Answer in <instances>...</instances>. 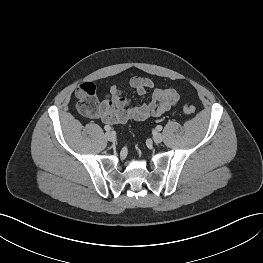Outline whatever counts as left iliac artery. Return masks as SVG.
Here are the masks:
<instances>
[{
	"instance_id": "left-iliac-artery-1",
	"label": "left iliac artery",
	"mask_w": 263,
	"mask_h": 263,
	"mask_svg": "<svg viewBox=\"0 0 263 263\" xmlns=\"http://www.w3.org/2000/svg\"><path fill=\"white\" fill-rule=\"evenodd\" d=\"M156 129H157L158 131H161V130H162V126H161V125H157V126H156Z\"/></svg>"
}]
</instances>
